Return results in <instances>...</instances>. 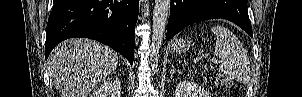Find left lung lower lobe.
Returning a JSON list of instances; mask_svg holds the SVG:
<instances>
[{
  "mask_svg": "<svg viewBox=\"0 0 302 97\" xmlns=\"http://www.w3.org/2000/svg\"><path fill=\"white\" fill-rule=\"evenodd\" d=\"M213 18L230 20L253 37L247 0H171L166 39L190 24Z\"/></svg>",
  "mask_w": 302,
  "mask_h": 97,
  "instance_id": "obj_1",
  "label": "left lung lower lobe"
}]
</instances>
